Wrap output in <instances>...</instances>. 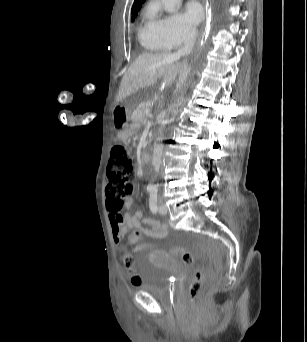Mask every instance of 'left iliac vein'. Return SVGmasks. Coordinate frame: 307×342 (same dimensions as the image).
I'll return each mask as SVG.
<instances>
[{"label":"left iliac vein","instance_id":"left-iliac-vein-1","mask_svg":"<svg viewBox=\"0 0 307 342\" xmlns=\"http://www.w3.org/2000/svg\"><path fill=\"white\" fill-rule=\"evenodd\" d=\"M158 211H159L161 214H166V213L168 212L167 207L163 204L162 201L159 202Z\"/></svg>","mask_w":307,"mask_h":342}]
</instances>
